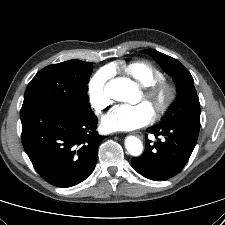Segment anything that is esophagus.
Wrapping results in <instances>:
<instances>
[{
  "mask_svg": "<svg viewBox=\"0 0 225 225\" xmlns=\"http://www.w3.org/2000/svg\"><path fill=\"white\" fill-rule=\"evenodd\" d=\"M134 135H136L139 139H143V134L141 132H134Z\"/></svg>",
  "mask_w": 225,
  "mask_h": 225,
  "instance_id": "34e87169",
  "label": "esophagus"
}]
</instances>
